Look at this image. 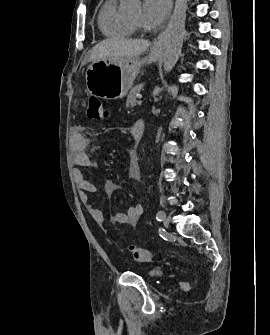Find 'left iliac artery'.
<instances>
[{
    "instance_id": "left-iliac-artery-1",
    "label": "left iliac artery",
    "mask_w": 270,
    "mask_h": 335,
    "mask_svg": "<svg viewBox=\"0 0 270 335\" xmlns=\"http://www.w3.org/2000/svg\"><path fill=\"white\" fill-rule=\"evenodd\" d=\"M165 217V212L164 211H158L157 214H156V219L158 221H162Z\"/></svg>"
}]
</instances>
